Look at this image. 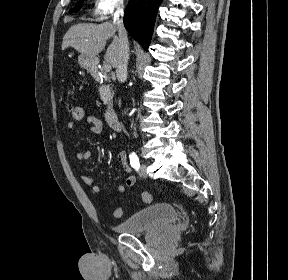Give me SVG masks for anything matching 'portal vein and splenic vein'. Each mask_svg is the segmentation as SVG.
<instances>
[{"mask_svg": "<svg viewBox=\"0 0 288 280\" xmlns=\"http://www.w3.org/2000/svg\"><path fill=\"white\" fill-rule=\"evenodd\" d=\"M111 65L109 64V63H105L104 65H103V70L105 71V72H110L111 71Z\"/></svg>", "mask_w": 288, "mask_h": 280, "instance_id": "1", "label": "portal vein and splenic vein"}]
</instances>
